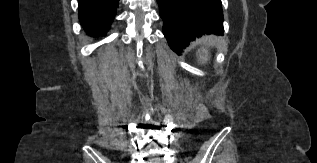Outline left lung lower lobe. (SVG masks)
Segmentation results:
<instances>
[{"instance_id":"obj_1","label":"left lung lower lobe","mask_w":317,"mask_h":163,"mask_svg":"<svg viewBox=\"0 0 317 163\" xmlns=\"http://www.w3.org/2000/svg\"><path fill=\"white\" fill-rule=\"evenodd\" d=\"M163 33L177 54L195 37L224 32L221 0H157Z\"/></svg>"}]
</instances>
